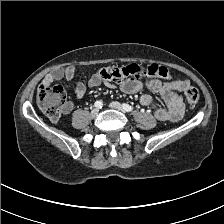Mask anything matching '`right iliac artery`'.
<instances>
[{
	"instance_id": "82829eb1",
	"label": "right iliac artery",
	"mask_w": 224,
	"mask_h": 224,
	"mask_svg": "<svg viewBox=\"0 0 224 224\" xmlns=\"http://www.w3.org/2000/svg\"><path fill=\"white\" fill-rule=\"evenodd\" d=\"M94 106L97 107V108H102V106H103V102H102V101H96V102L94 103Z\"/></svg>"
}]
</instances>
